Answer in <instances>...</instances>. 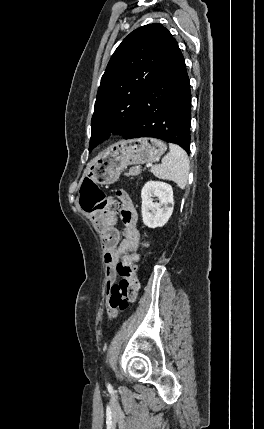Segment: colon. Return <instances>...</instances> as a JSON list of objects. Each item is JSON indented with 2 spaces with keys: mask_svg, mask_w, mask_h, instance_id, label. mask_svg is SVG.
<instances>
[{
  "mask_svg": "<svg viewBox=\"0 0 264 429\" xmlns=\"http://www.w3.org/2000/svg\"><path fill=\"white\" fill-rule=\"evenodd\" d=\"M80 204L88 213L104 212L115 215L119 211L118 204L92 181H84L80 189ZM147 246L145 242L143 244ZM137 254H127L116 266L119 280L108 288L107 306L111 312L124 311L134 302L139 289L137 279Z\"/></svg>",
  "mask_w": 264,
  "mask_h": 429,
  "instance_id": "colon-1",
  "label": "colon"
}]
</instances>
